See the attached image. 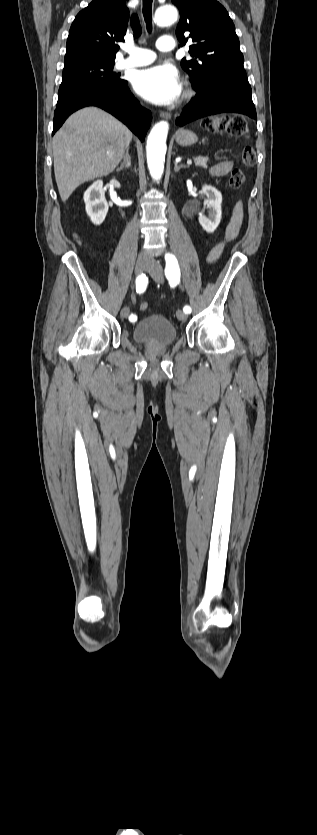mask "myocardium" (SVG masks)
<instances>
[{
	"label": "myocardium",
	"mask_w": 317,
	"mask_h": 835,
	"mask_svg": "<svg viewBox=\"0 0 317 835\" xmlns=\"http://www.w3.org/2000/svg\"><path fill=\"white\" fill-rule=\"evenodd\" d=\"M192 95H193V91H191V90H187V91L185 92V95H184V96H185V98H190Z\"/></svg>",
	"instance_id": "1"
}]
</instances>
